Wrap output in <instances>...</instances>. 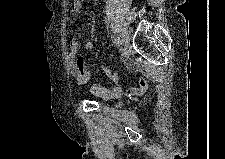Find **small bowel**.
Instances as JSON below:
<instances>
[{"label": "small bowel", "mask_w": 225, "mask_h": 159, "mask_svg": "<svg viewBox=\"0 0 225 159\" xmlns=\"http://www.w3.org/2000/svg\"><path fill=\"white\" fill-rule=\"evenodd\" d=\"M81 12V3L75 2L70 10L69 14L73 17L79 15ZM93 43L91 41H88L85 43V48L87 50L93 49ZM69 49H70V61H71V68H72V75L75 79V82L79 86H89L92 93L95 95L101 97V98H115L122 94L124 91V87L122 85H119V77L118 75L109 68H102V70L107 74V76L115 83H117L114 86L104 87L99 85H91L90 79H91V72L88 69L86 62L84 58L80 57L78 55L79 49H80V43L76 37H72L69 42ZM122 59L124 64L128 68H133L134 64L133 62L125 55L122 54ZM147 87V83L144 79H139L135 84L128 86L125 88L126 92L129 94L132 93H140L144 91Z\"/></svg>", "instance_id": "small-bowel-1"}]
</instances>
